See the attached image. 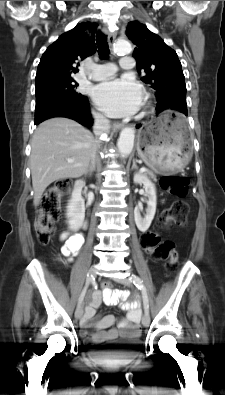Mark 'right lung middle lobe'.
<instances>
[{
    "instance_id": "right-lung-middle-lobe-1",
    "label": "right lung middle lobe",
    "mask_w": 225,
    "mask_h": 395,
    "mask_svg": "<svg viewBox=\"0 0 225 395\" xmlns=\"http://www.w3.org/2000/svg\"><path fill=\"white\" fill-rule=\"evenodd\" d=\"M78 83L74 79L59 80L36 85V107L38 110L56 100L62 98H83L76 91Z\"/></svg>"
}]
</instances>
